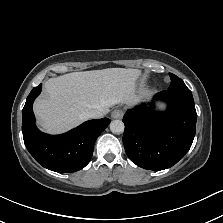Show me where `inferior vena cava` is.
Instances as JSON below:
<instances>
[{
	"label": "inferior vena cava",
	"instance_id": "inferior-vena-cava-1",
	"mask_svg": "<svg viewBox=\"0 0 223 223\" xmlns=\"http://www.w3.org/2000/svg\"><path fill=\"white\" fill-rule=\"evenodd\" d=\"M104 114L105 113L101 110H91L88 113V118L89 119H98V118H102Z\"/></svg>",
	"mask_w": 223,
	"mask_h": 223
}]
</instances>
